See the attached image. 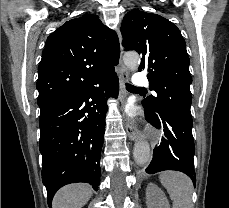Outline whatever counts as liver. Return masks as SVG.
<instances>
[{"instance_id": "obj_1", "label": "liver", "mask_w": 229, "mask_h": 208, "mask_svg": "<svg viewBox=\"0 0 229 208\" xmlns=\"http://www.w3.org/2000/svg\"><path fill=\"white\" fill-rule=\"evenodd\" d=\"M93 190L88 184H70L58 190L52 200V208H83L89 202Z\"/></svg>"}]
</instances>
